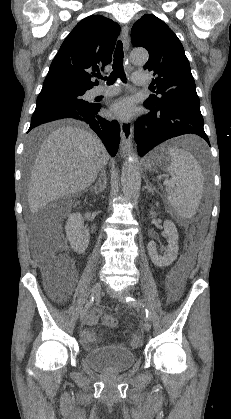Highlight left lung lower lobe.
I'll return each instance as SVG.
<instances>
[{
	"label": "left lung lower lobe",
	"mask_w": 231,
	"mask_h": 419,
	"mask_svg": "<svg viewBox=\"0 0 231 419\" xmlns=\"http://www.w3.org/2000/svg\"><path fill=\"white\" fill-rule=\"evenodd\" d=\"M148 114L135 122V141L140 156L167 139L184 134H195L210 145L198 103H172L154 107L144 102Z\"/></svg>",
	"instance_id": "left-lung-lower-lobe-1"
}]
</instances>
